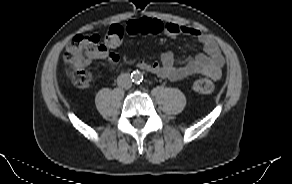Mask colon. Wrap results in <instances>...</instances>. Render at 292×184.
<instances>
[{
    "mask_svg": "<svg viewBox=\"0 0 292 184\" xmlns=\"http://www.w3.org/2000/svg\"><path fill=\"white\" fill-rule=\"evenodd\" d=\"M140 29L143 35H155L159 34L162 28L158 21L145 19ZM123 36L124 28L115 24L110 26L103 40L96 34L73 37L64 54L67 75L72 83L80 88L90 87L93 76L87 68L89 61L109 49L119 47ZM194 89L201 94H210L214 91L215 85L210 79L201 78L194 83Z\"/></svg>",
    "mask_w": 292,
    "mask_h": 184,
    "instance_id": "1",
    "label": "colon"
}]
</instances>
